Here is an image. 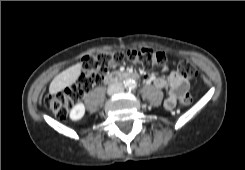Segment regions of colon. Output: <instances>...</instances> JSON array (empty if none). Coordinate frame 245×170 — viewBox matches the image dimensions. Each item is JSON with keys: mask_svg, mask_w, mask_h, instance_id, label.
Here are the masks:
<instances>
[{"mask_svg": "<svg viewBox=\"0 0 245 170\" xmlns=\"http://www.w3.org/2000/svg\"><path fill=\"white\" fill-rule=\"evenodd\" d=\"M125 58L129 63L145 69L162 66L167 61L162 52L135 48L127 50L126 53L120 51L103 52L88 56L83 60V71L76 83L69 88L47 93L43 98L44 106L58 116L65 115L72 104L102 81L104 71L121 64ZM178 72L186 78H193L197 75L196 68L188 60L179 62ZM191 100L190 95H185L180 102L183 105H189Z\"/></svg>", "mask_w": 245, "mask_h": 170, "instance_id": "obj_1", "label": "colon"}]
</instances>
